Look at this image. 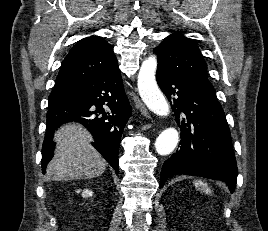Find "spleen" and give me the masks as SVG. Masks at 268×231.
I'll use <instances>...</instances> for the list:
<instances>
[{
    "label": "spleen",
    "instance_id": "3e777b00",
    "mask_svg": "<svg viewBox=\"0 0 268 231\" xmlns=\"http://www.w3.org/2000/svg\"><path fill=\"white\" fill-rule=\"evenodd\" d=\"M195 188L200 190L205 194H211V189L209 188L207 183H204L202 180H195L194 182Z\"/></svg>",
    "mask_w": 268,
    "mask_h": 231
}]
</instances>
